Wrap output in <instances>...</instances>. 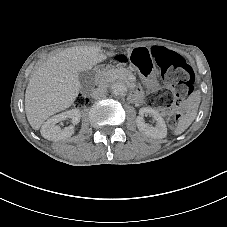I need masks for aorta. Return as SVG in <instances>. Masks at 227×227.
I'll return each instance as SVG.
<instances>
[{"label": "aorta", "instance_id": "aorta-1", "mask_svg": "<svg viewBox=\"0 0 227 227\" xmlns=\"http://www.w3.org/2000/svg\"><path fill=\"white\" fill-rule=\"evenodd\" d=\"M112 93L115 96L123 97L127 94V87L122 82H116L112 85Z\"/></svg>", "mask_w": 227, "mask_h": 227}]
</instances>
